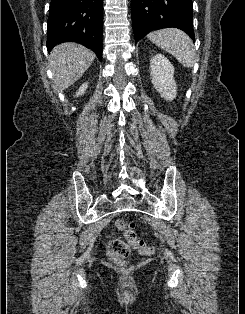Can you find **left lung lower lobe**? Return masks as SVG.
<instances>
[{"instance_id": "left-lung-lower-lobe-1", "label": "left lung lower lobe", "mask_w": 245, "mask_h": 314, "mask_svg": "<svg viewBox=\"0 0 245 314\" xmlns=\"http://www.w3.org/2000/svg\"><path fill=\"white\" fill-rule=\"evenodd\" d=\"M192 0H131L135 43L156 29L174 27L195 39Z\"/></svg>"}]
</instances>
